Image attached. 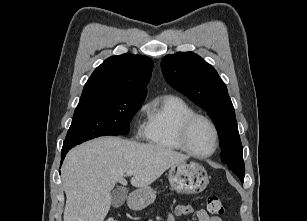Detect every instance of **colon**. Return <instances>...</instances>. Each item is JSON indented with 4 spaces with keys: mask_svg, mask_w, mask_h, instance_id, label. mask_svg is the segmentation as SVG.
I'll return each instance as SVG.
<instances>
[{
    "mask_svg": "<svg viewBox=\"0 0 307 221\" xmlns=\"http://www.w3.org/2000/svg\"><path fill=\"white\" fill-rule=\"evenodd\" d=\"M207 209L213 215H222L225 212L221 200L215 195H209L207 198ZM106 221H118L116 217H110Z\"/></svg>",
    "mask_w": 307,
    "mask_h": 221,
    "instance_id": "1",
    "label": "colon"
}]
</instances>
